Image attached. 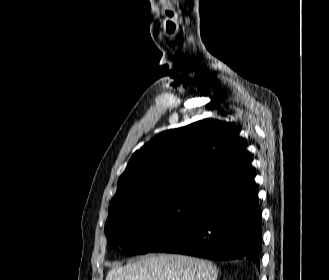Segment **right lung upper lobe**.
I'll return each instance as SVG.
<instances>
[{"instance_id": "obj_1", "label": "right lung upper lobe", "mask_w": 329, "mask_h": 280, "mask_svg": "<svg viewBox=\"0 0 329 280\" xmlns=\"http://www.w3.org/2000/svg\"><path fill=\"white\" fill-rule=\"evenodd\" d=\"M250 161L230 124L203 119L155 136L131 157L112 206L155 197H201L219 178Z\"/></svg>"}]
</instances>
